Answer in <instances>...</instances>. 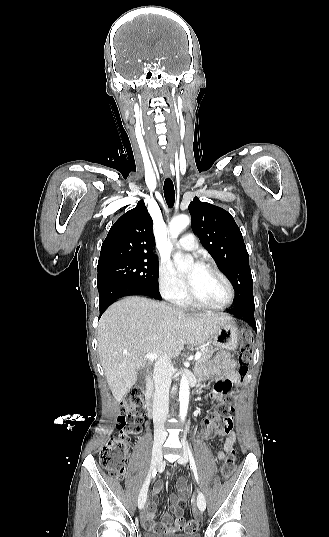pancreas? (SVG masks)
<instances>
[{
	"instance_id": "pancreas-1",
	"label": "pancreas",
	"mask_w": 329,
	"mask_h": 537,
	"mask_svg": "<svg viewBox=\"0 0 329 537\" xmlns=\"http://www.w3.org/2000/svg\"><path fill=\"white\" fill-rule=\"evenodd\" d=\"M216 349L212 347H206L201 351V358L198 360V364H204L208 359L212 357Z\"/></svg>"
}]
</instances>
